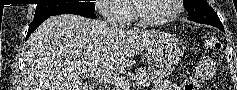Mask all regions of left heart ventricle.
<instances>
[{
	"label": "left heart ventricle",
	"mask_w": 237,
	"mask_h": 90,
	"mask_svg": "<svg viewBox=\"0 0 237 90\" xmlns=\"http://www.w3.org/2000/svg\"><path fill=\"white\" fill-rule=\"evenodd\" d=\"M172 0L136 1L140 15L147 20H157L172 11Z\"/></svg>",
	"instance_id": "left-heart-ventricle-1"
}]
</instances>
